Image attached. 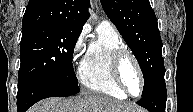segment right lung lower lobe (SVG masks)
I'll return each instance as SVG.
<instances>
[{"mask_svg": "<svg viewBox=\"0 0 193 112\" xmlns=\"http://www.w3.org/2000/svg\"><path fill=\"white\" fill-rule=\"evenodd\" d=\"M70 96L69 94H56L53 93L52 90L43 87H33L29 88L23 92L18 91L17 94V111L25 112L29 107H31L36 102L48 98V97H56V96Z\"/></svg>", "mask_w": 193, "mask_h": 112, "instance_id": "obj_1", "label": "right lung lower lobe"}]
</instances>
